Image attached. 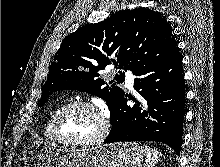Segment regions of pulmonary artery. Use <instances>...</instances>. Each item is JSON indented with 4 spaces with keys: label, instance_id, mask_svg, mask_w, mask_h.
I'll use <instances>...</instances> for the list:
<instances>
[{
    "label": "pulmonary artery",
    "instance_id": "1",
    "mask_svg": "<svg viewBox=\"0 0 220 167\" xmlns=\"http://www.w3.org/2000/svg\"><path fill=\"white\" fill-rule=\"evenodd\" d=\"M125 86L130 90L133 88V76L129 73L126 75Z\"/></svg>",
    "mask_w": 220,
    "mask_h": 167
}]
</instances>
